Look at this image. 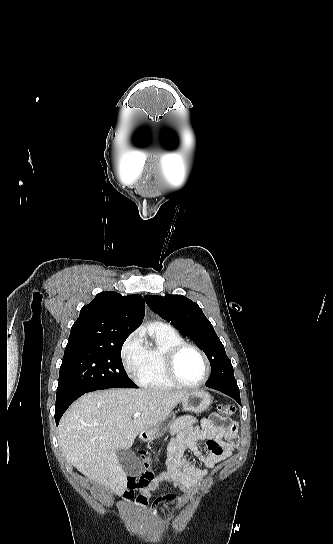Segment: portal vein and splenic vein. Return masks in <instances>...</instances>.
<instances>
[{
  "label": "portal vein and splenic vein",
  "instance_id": "1",
  "mask_svg": "<svg viewBox=\"0 0 333 544\" xmlns=\"http://www.w3.org/2000/svg\"><path fill=\"white\" fill-rule=\"evenodd\" d=\"M133 416H134V418H138V417H140V413H139V412H136V413H134Z\"/></svg>",
  "mask_w": 333,
  "mask_h": 544
}]
</instances>
